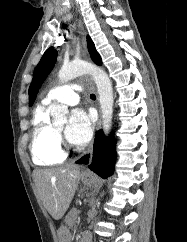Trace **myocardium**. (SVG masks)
<instances>
[{
	"label": "myocardium",
	"instance_id": "1",
	"mask_svg": "<svg viewBox=\"0 0 187 242\" xmlns=\"http://www.w3.org/2000/svg\"><path fill=\"white\" fill-rule=\"evenodd\" d=\"M54 131L56 133V136H57L58 140L61 141V132L58 129H56L55 127H54ZM66 149H67V147L64 145V149H62V150L65 152Z\"/></svg>",
	"mask_w": 187,
	"mask_h": 242
}]
</instances>
